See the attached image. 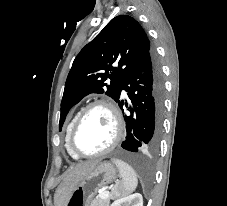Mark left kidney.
I'll use <instances>...</instances> for the list:
<instances>
[{
    "instance_id": "5707ae66",
    "label": "left kidney",
    "mask_w": 227,
    "mask_h": 206,
    "mask_svg": "<svg viewBox=\"0 0 227 206\" xmlns=\"http://www.w3.org/2000/svg\"><path fill=\"white\" fill-rule=\"evenodd\" d=\"M111 206H143V198L139 193L115 200Z\"/></svg>"
}]
</instances>
